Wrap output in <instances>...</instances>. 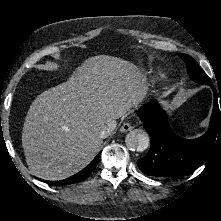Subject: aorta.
Masks as SVG:
<instances>
[{
  "mask_svg": "<svg viewBox=\"0 0 221 221\" xmlns=\"http://www.w3.org/2000/svg\"><path fill=\"white\" fill-rule=\"evenodd\" d=\"M125 143L127 148L132 151H144L150 143V138L146 131L136 129L126 135Z\"/></svg>",
  "mask_w": 221,
  "mask_h": 221,
  "instance_id": "obj_1",
  "label": "aorta"
}]
</instances>
